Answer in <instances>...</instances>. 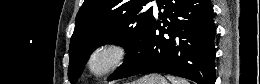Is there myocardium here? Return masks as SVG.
Masks as SVG:
<instances>
[{"label": "myocardium", "mask_w": 260, "mask_h": 84, "mask_svg": "<svg viewBox=\"0 0 260 84\" xmlns=\"http://www.w3.org/2000/svg\"><path fill=\"white\" fill-rule=\"evenodd\" d=\"M130 47L116 39H107L94 45L84 61L86 72L94 79H103L118 72L130 55Z\"/></svg>", "instance_id": "f54148a6"}]
</instances>
